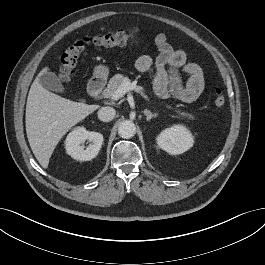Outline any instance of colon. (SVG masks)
I'll list each match as a JSON object with an SVG mask.
<instances>
[{
  "label": "colon",
  "mask_w": 265,
  "mask_h": 265,
  "mask_svg": "<svg viewBox=\"0 0 265 265\" xmlns=\"http://www.w3.org/2000/svg\"><path fill=\"white\" fill-rule=\"evenodd\" d=\"M138 28H130L127 31L103 32L93 36H88L74 42L69 46L61 56L60 70L64 79H68L77 65L81 53L90 46L98 47H118L124 46L130 41L136 40ZM213 104L216 107H222L225 103L224 91L217 87L212 95Z\"/></svg>",
  "instance_id": "5ec220e1"
}]
</instances>
